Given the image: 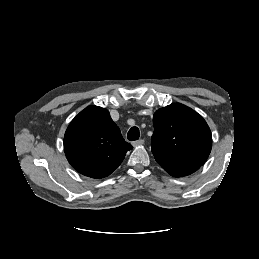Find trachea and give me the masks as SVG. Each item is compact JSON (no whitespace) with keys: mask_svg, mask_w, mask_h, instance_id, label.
<instances>
[{"mask_svg":"<svg viewBox=\"0 0 259 259\" xmlns=\"http://www.w3.org/2000/svg\"><path fill=\"white\" fill-rule=\"evenodd\" d=\"M139 136H140V132H139V129L138 127L134 126L132 127L128 134H127V138L128 140L130 141H135V140H138L139 139Z\"/></svg>","mask_w":259,"mask_h":259,"instance_id":"trachea-1","label":"trachea"}]
</instances>
